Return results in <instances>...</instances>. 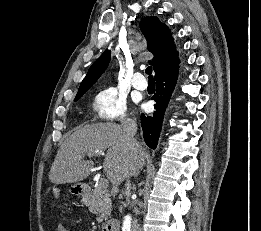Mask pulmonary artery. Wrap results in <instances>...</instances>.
<instances>
[{"label":"pulmonary artery","mask_w":261,"mask_h":231,"mask_svg":"<svg viewBox=\"0 0 261 231\" xmlns=\"http://www.w3.org/2000/svg\"><path fill=\"white\" fill-rule=\"evenodd\" d=\"M132 85L134 88H136L138 90H145L147 88V82L144 79L142 73L136 72L133 75Z\"/></svg>","instance_id":"1"}]
</instances>
